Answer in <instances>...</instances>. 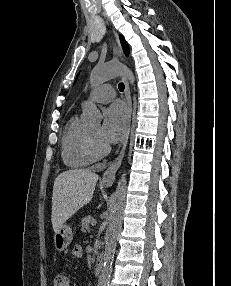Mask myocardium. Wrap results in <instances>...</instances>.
<instances>
[{
	"mask_svg": "<svg viewBox=\"0 0 231 286\" xmlns=\"http://www.w3.org/2000/svg\"><path fill=\"white\" fill-rule=\"evenodd\" d=\"M85 149L87 153L93 158V159H99L104 157L108 151L109 148L106 145H98L91 135L89 134L88 130H85Z\"/></svg>",
	"mask_w": 231,
	"mask_h": 286,
	"instance_id": "f54148a6",
	"label": "myocardium"
}]
</instances>
